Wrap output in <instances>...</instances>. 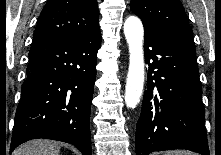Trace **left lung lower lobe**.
<instances>
[{
  "instance_id": "left-lung-lower-lobe-1",
  "label": "left lung lower lobe",
  "mask_w": 221,
  "mask_h": 155,
  "mask_svg": "<svg viewBox=\"0 0 221 155\" xmlns=\"http://www.w3.org/2000/svg\"><path fill=\"white\" fill-rule=\"evenodd\" d=\"M144 29L148 85L136 125V155L171 149L210 155L195 47Z\"/></svg>"
}]
</instances>
